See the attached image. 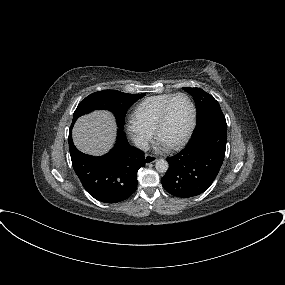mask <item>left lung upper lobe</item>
Here are the masks:
<instances>
[{
    "label": "left lung upper lobe",
    "mask_w": 285,
    "mask_h": 285,
    "mask_svg": "<svg viewBox=\"0 0 285 285\" xmlns=\"http://www.w3.org/2000/svg\"><path fill=\"white\" fill-rule=\"evenodd\" d=\"M194 98L197 110V122L201 120L208 112L221 109L219 103L213 96L200 88L183 87Z\"/></svg>",
    "instance_id": "left-lung-upper-lobe-1"
}]
</instances>
